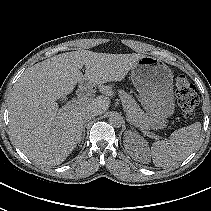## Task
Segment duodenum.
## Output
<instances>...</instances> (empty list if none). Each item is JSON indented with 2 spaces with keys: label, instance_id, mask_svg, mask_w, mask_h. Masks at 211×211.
Listing matches in <instances>:
<instances>
[{
  "label": "duodenum",
  "instance_id": "1",
  "mask_svg": "<svg viewBox=\"0 0 211 211\" xmlns=\"http://www.w3.org/2000/svg\"><path fill=\"white\" fill-rule=\"evenodd\" d=\"M77 94H78L79 97L87 98L90 95V88L85 87V86H81L78 89Z\"/></svg>",
  "mask_w": 211,
  "mask_h": 211
}]
</instances>
